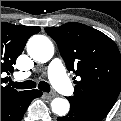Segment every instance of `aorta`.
<instances>
[{
	"mask_svg": "<svg viewBox=\"0 0 121 121\" xmlns=\"http://www.w3.org/2000/svg\"><path fill=\"white\" fill-rule=\"evenodd\" d=\"M27 51L35 61L45 63L53 57L54 46L46 36L34 35L27 43ZM51 108L58 116H65L69 111L70 104L67 99L55 98L51 102Z\"/></svg>",
	"mask_w": 121,
	"mask_h": 121,
	"instance_id": "obj_1",
	"label": "aorta"
}]
</instances>
